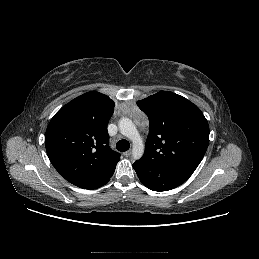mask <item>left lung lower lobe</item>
<instances>
[{
    "mask_svg": "<svg viewBox=\"0 0 259 259\" xmlns=\"http://www.w3.org/2000/svg\"><path fill=\"white\" fill-rule=\"evenodd\" d=\"M140 181L153 191H168L184 183L192 173L141 158L133 164Z\"/></svg>",
    "mask_w": 259,
    "mask_h": 259,
    "instance_id": "1",
    "label": "left lung lower lobe"
}]
</instances>
